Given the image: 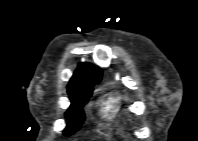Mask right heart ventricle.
I'll return each instance as SVG.
<instances>
[{"instance_id":"1","label":"right heart ventricle","mask_w":198,"mask_h":141,"mask_svg":"<svg viewBox=\"0 0 198 141\" xmlns=\"http://www.w3.org/2000/svg\"><path fill=\"white\" fill-rule=\"evenodd\" d=\"M102 111L107 116H117L121 111V100L115 93L108 94L102 101Z\"/></svg>"}]
</instances>
